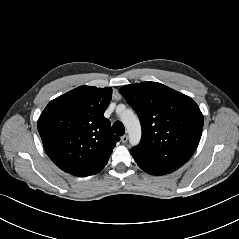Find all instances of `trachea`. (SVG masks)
Listing matches in <instances>:
<instances>
[{
	"instance_id": "1",
	"label": "trachea",
	"mask_w": 239,
	"mask_h": 239,
	"mask_svg": "<svg viewBox=\"0 0 239 239\" xmlns=\"http://www.w3.org/2000/svg\"><path fill=\"white\" fill-rule=\"evenodd\" d=\"M112 128H113L114 133L118 136H122L125 133L124 125L120 121H116L113 124Z\"/></svg>"
}]
</instances>
